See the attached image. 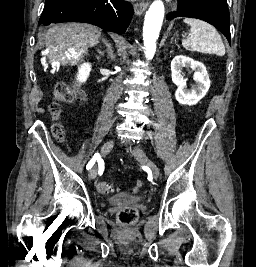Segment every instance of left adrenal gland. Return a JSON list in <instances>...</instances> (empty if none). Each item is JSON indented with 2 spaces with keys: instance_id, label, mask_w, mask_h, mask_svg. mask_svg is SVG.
Instances as JSON below:
<instances>
[{
  "instance_id": "a2214340",
  "label": "left adrenal gland",
  "mask_w": 256,
  "mask_h": 267,
  "mask_svg": "<svg viewBox=\"0 0 256 267\" xmlns=\"http://www.w3.org/2000/svg\"><path fill=\"white\" fill-rule=\"evenodd\" d=\"M173 40H174V38H172V40H171V44H172Z\"/></svg>"
}]
</instances>
